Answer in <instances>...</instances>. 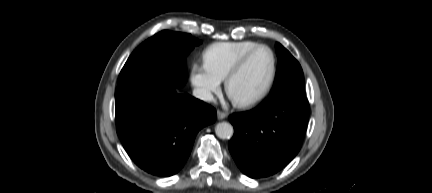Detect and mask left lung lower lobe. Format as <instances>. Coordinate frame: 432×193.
<instances>
[{"label": "left lung lower lobe", "instance_id": "0a47b994", "mask_svg": "<svg viewBox=\"0 0 432 193\" xmlns=\"http://www.w3.org/2000/svg\"><path fill=\"white\" fill-rule=\"evenodd\" d=\"M308 116L306 97L283 95L230 116L234 135L229 150L237 166L251 178L281 170L300 150Z\"/></svg>", "mask_w": 432, "mask_h": 193}]
</instances>
